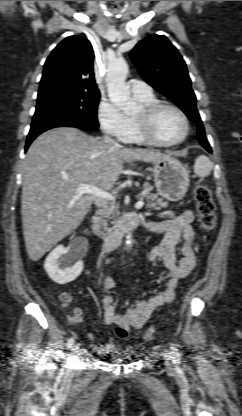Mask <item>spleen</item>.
Masks as SVG:
<instances>
[{"label":"spleen","mask_w":242,"mask_h":416,"mask_svg":"<svg viewBox=\"0 0 242 416\" xmlns=\"http://www.w3.org/2000/svg\"><path fill=\"white\" fill-rule=\"evenodd\" d=\"M213 169V163L211 160L205 156H199L194 164V172L198 177H206L208 176Z\"/></svg>","instance_id":"1"}]
</instances>
